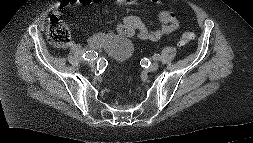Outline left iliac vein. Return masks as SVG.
I'll list each match as a JSON object with an SVG mask.
<instances>
[{
	"label": "left iliac vein",
	"instance_id": "4c4485c4",
	"mask_svg": "<svg viewBox=\"0 0 253 143\" xmlns=\"http://www.w3.org/2000/svg\"><path fill=\"white\" fill-rule=\"evenodd\" d=\"M159 68V64L157 62H154L151 64V66L149 67V71H156Z\"/></svg>",
	"mask_w": 253,
	"mask_h": 143
}]
</instances>
